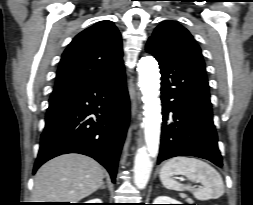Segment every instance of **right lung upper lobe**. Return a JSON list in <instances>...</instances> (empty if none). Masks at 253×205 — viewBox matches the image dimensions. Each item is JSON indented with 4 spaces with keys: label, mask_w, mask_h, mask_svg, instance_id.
<instances>
[{
    "label": "right lung upper lobe",
    "mask_w": 253,
    "mask_h": 205,
    "mask_svg": "<svg viewBox=\"0 0 253 205\" xmlns=\"http://www.w3.org/2000/svg\"><path fill=\"white\" fill-rule=\"evenodd\" d=\"M121 35L105 20L79 33L62 54L55 91L99 81L124 68Z\"/></svg>",
    "instance_id": "obj_1"
}]
</instances>
